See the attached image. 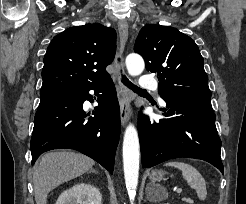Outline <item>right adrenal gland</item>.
Here are the masks:
<instances>
[{
    "instance_id": "1",
    "label": "right adrenal gland",
    "mask_w": 246,
    "mask_h": 204,
    "mask_svg": "<svg viewBox=\"0 0 246 204\" xmlns=\"http://www.w3.org/2000/svg\"><path fill=\"white\" fill-rule=\"evenodd\" d=\"M90 172H93V173H97L98 174V171H96L95 169L91 168Z\"/></svg>"
}]
</instances>
